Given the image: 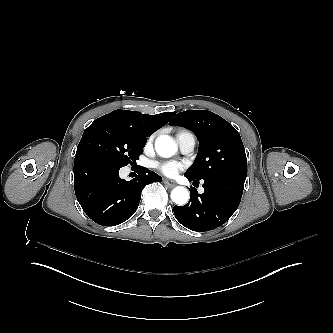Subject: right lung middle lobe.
Masks as SVG:
<instances>
[{"label": "right lung middle lobe", "mask_w": 333, "mask_h": 333, "mask_svg": "<svg viewBox=\"0 0 333 333\" xmlns=\"http://www.w3.org/2000/svg\"><path fill=\"white\" fill-rule=\"evenodd\" d=\"M146 138L109 120L94 121L83 133L76 153H93L116 167L133 165Z\"/></svg>", "instance_id": "1"}]
</instances>
